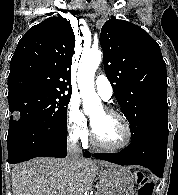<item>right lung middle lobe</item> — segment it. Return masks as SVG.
Listing matches in <instances>:
<instances>
[{
	"instance_id": "right-lung-middle-lobe-1",
	"label": "right lung middle lobe",
	"mask_w": 178,
	"mask_h": 195,
	"mask_svg": "<svg viewBox=\"0 0 178 195\" xmlns=\"http://www.w3.org/2000/svg\"><path fill=\"white\" fill-rule=\"evenodd\" d=\"M62 94L60 91L26 90L8 96L9 110L13 113L9 125L18 122H65L70 93Z\"/></svg>"
}]
</instances>
